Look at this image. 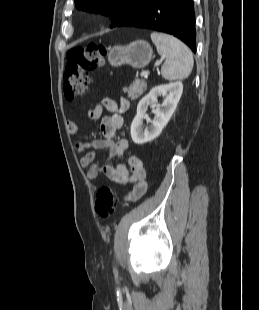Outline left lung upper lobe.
Returning a JSON list of instances; mask_svg holds the SVG:
<instances>
[{
	"label": "left lung upper lobe",
	"mask_w": 259,
	"mask_h": 310,
	"mask_svg": "<svg viewBox=\"0 0 259 310\" xmlns=\"http://www.w3.org/2000/svg\"><path fill=\"white\" fill-rule=\"evenodd\" d=\"M151 0H75L79 10L109 16L114 27L127 15Z\"/></svg>",
	"instance_id": "1"
}]
</instances>
